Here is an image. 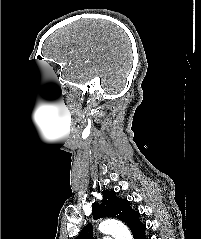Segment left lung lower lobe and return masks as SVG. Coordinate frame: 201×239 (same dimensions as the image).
Wrapping results in <instances>:
<instances>
[{
    "instance_id": "1",
    "label": "left lung lower lobe",
    "mask_w": 201,
    "mask_h": 239,
    "mask_svg": "<svg viewBox=\"0 0 201 239\" xmlns=\"http://www.w3.org/2000/svg\"><path fill=\"white\" fill-rule=\"evenodd\" d=\"M145 230H146L145 224H143V223L138 224L131 230L133 238L134 239H148L145 236Z\"/></svg>"
}]
</instances>
